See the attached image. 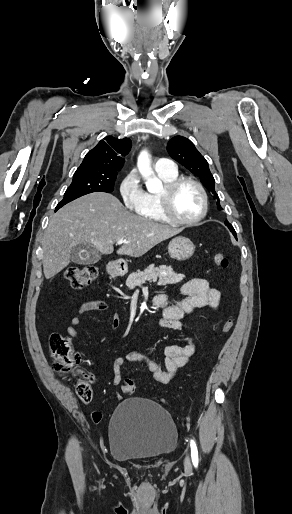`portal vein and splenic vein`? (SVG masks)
Returning a JSON list of instances; mask_svg holds the SVG:
<instances>
[{
    "label": "portal vein and splenic vein",
    "mask_w": 292,
    "mask_h": 514,
    "mask_svg": "<svg viewBox=\"0 0 292 514\" xmlns=\"http://www.w3.org/2000/svg\"><path fill=\"white\" fill-rule=\"evenodd\" d=\"M124 242H126V240H118L117 244H124Z\"/></svg>",
    "instance_id": "1"
}]
</instances>
